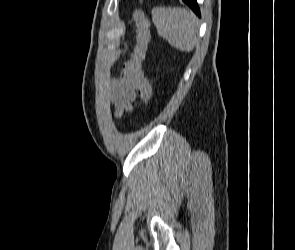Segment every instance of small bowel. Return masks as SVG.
<instances>
[{"label":"small bowel","mask_w":295,"mask_h":250,"mask_svg":"<svg viewBox=\"0 0 295 250\" xmlns=\"http://www.w3.org/2000/svg\"><path fill=\"white\" fill-rule=\"evenodd\" d=\"M137 97L134 86L124 80L122 77L114 83L111 94L112 104L115 110V116L120 119L125 112L133 110V102Z\"/></svg>","instance_id":"1"}]
</instances>
